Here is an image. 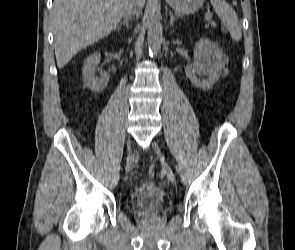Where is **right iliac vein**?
<instances>
[{"label":"right iliac vein","mask_w":295,"mask_h":250,"mask_svg":"<svg viewBox=\"0 0 295 250\" xmlns=\"http://www.w3.org/2000/svg\"><path fill=\"white\" fill-rule=\"evenodd\" d=\"M135 161V154L131 150V145L130 143L128 144V156H127V161H126V171H130L133 168Z\"/></svg>","instance_id":"obj_1"}]
</instances>
